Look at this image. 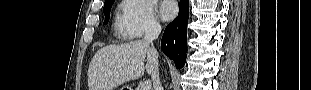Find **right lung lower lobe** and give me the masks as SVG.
<instances>
[{"mask_svg":"<svg viewBox=\"0 0 311 90\" xmlns=\"http://www.w3.org/2000/svg\"><path fill=\"white\" fill-rule=\"evenodd\" d=\"M188 6V0H180L178 17L166 27L161 41L162 51L175 62L177 68H182L186 60Z\"/></svg>","mask_w":311,"mask_h":90,"instance_id":"1","label":"right lung lower lobe"}]
</instances>
